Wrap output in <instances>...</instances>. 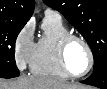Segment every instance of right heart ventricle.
I'll list each match as a JSON object with an SVG mask.
<instances>
[{
	"mask_svg": "<svg viewBox=\"0 0 107 89\" xmlns=\"http://www.w3.org/2000/svg\"><path fill=\"white\" fill-rule=\"evenodd\" d=\"M68 32L61 17L45 15L43 33L35 44L30 61L32 73L57 79L69 78L59 63L57 52L59 39Z\"/></svg>",
	"mask_w": 107,
	"mask_h": 89,
	"instance_id": "1",
	"label": "right heart ventricle"
}]
</instances>
